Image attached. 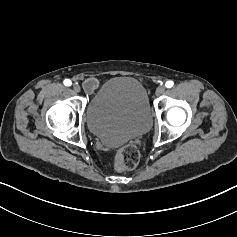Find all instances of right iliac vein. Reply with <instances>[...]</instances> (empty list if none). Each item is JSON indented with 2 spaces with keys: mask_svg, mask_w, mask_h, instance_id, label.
<instances>
[{
  "mask_svg": "<svg viewBox=\"0 0 237 237\" xmlns=\"http://www.w3.org/2000/svg\"><path fill=\"white\" fill-rule=\"evenodd\" d=\"M73 89L75 92L79 93L81 91V88L78 84H74Z\"/></svg>",
  "mask_w": 237,
  "mask_h": 237,
  "instance_id": "obj_1",
  "label": "right iliac vein"
}]
</instances>
